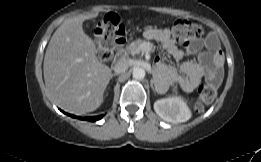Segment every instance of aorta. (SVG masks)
I'll list each match as a JSON object with an SVG mask.
<instances>
[{
  "instance_id": "762f6f07",
  "label": "aorta",
  "mask_w": 261,
  "mask_h": 162,
  "mask_svg": "<svg viewBox=\"0 0 261 162\" xmlns=\"http://www.w3.org/2000/svg\"><path fill=\"white\" fill-rule=\"evenodd\" d=\"M145 77V70L141 67H136L133 69V78L141 80Z\"/></svg>"
}]
</instances>
